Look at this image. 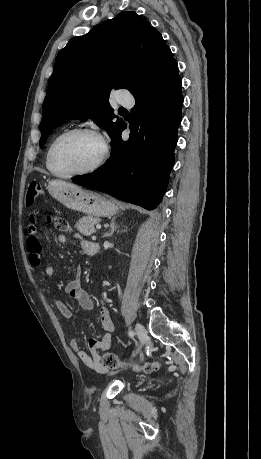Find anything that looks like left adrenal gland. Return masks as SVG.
<instances>
[{
    "label": "left adrenal gland",
    "mask_w": 261,
    "mask_h": 459,
    "mask_svg": "<svg viewBox=\"0 0 261 459\" xmlns=\"http://www.w3.org/2000/svg\"><path fill=\"white\" fill-rule=\"evenodd\" d=\"M115 220H116V217H114L112 220H111V223H110V231L105 233L103 235V237H111L113 235V233L117 230V228H119V226H117L115 224Z\"/></svg>",
    "instance_id": "left-adrenal-gland-1"
}]
</instances>
